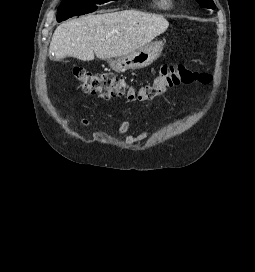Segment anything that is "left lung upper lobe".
Here are the masks:
<instances>
[{
	"instance_id": "5c2ea615",
	"label": "left lung upper lobe",
	"mask_w": 255,
	"mask_h": 272,
	"mask_svg": "<svg viewBox=\"0 0 255 272\" xmlns=\"http://www.w3.org/2000/svg\"><path fill=\"white\" fill-rule=\"evenodd\" d=\"M203 8H215V4L212 0H196Z\"/></svg>"
}]
</instances>
